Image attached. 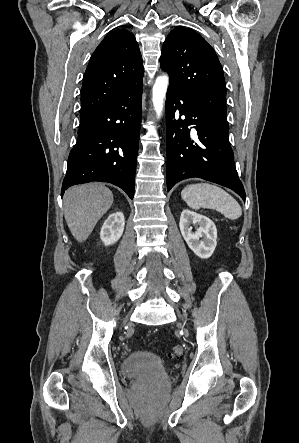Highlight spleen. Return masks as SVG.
<instances>
[{"label": "spleen", "mask_w": 299, "mask_h": 443, "mask_svg": "<svg viewBox=\"0 0 299 443\" xmlns=\"http://www.w3.org/2000/svg\"><path fill=\"white\" fill-rule=\"evenodd\" d=\"M181 196L187 205L198 210L200 208L215 209L226 218L234 220L242 215L239 203L222 188L208 184L198 183L186 186Z\"/></svg>", "instance_id": "1"}]
</instances>
